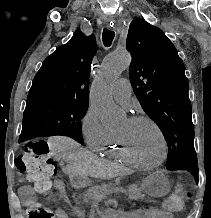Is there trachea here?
<instances>
[{
    "instance_id": "1",
    "label": "trachea",
    "mask_w": 211,
    "mask_h": 218,
    "mask_svg": "<svg viewBox=\"0 0 211 218\" xmlns=\"http://www.w3.org/2000/svg\"><path fill=\"white\" fill-rule=\"evenodd\" d=\"M114 36H115V33L113 31L104 29L103 34H102V40H103V44L105 45V47H110L114 39Z\"/></svg>"
}]
</instances>
